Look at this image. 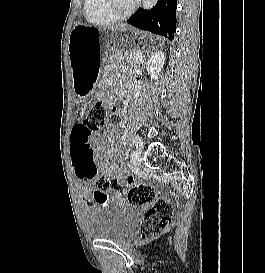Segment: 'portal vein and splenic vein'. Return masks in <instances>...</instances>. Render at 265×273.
Segmentation results:
<instances>
[{
	"instance_id": "portal-vein-and-splenic-vein-1",
	"label": "portal vein and splenic vein",
	"mask_w": 265,
	"mask_h": 273,
	"mask_svg": "<svg viewBox=\"0 0 265 273\" xmlns=\"http://www.w3.org/2000/svg\"><path fill=\"white\" fill-rule=\"evenodd\" d=\"M134 57L139 58V57H140V55H139V54H136V55H134Z\"/></svg>"
}]
</instances>
